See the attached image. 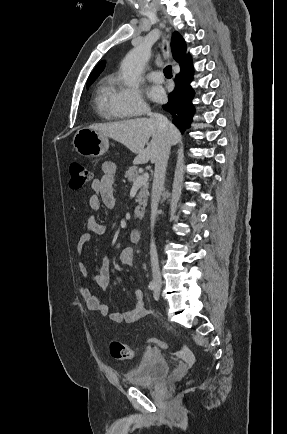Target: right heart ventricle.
I'll list each match as a JSON object with an SVG mask.
<instances>
[{
    "mask_svg": "<svg viewBox=\"0 0 287 434\" xmlns=\"http://www.w3.org/2000/svg\"><path fill=\"white\" fill-rule=\"evenodd\" d=\"M114 90V79L111 76L104 77L97 87L96 108L105 118L122 119L124 116L114 108L112 103Z\"/></svg>",
    "mask_w": 287,
    "mask_h": 434,
    "instance_id": "obj_1",
    "label": "right heart ventricle"
}]
</instances>
